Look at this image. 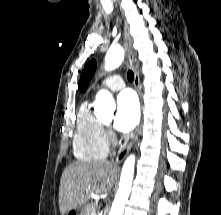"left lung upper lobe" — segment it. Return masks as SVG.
<instances>
[{"mask_svg":"<svg viewBox=\"0 0 221 215\" xmlns=\"http://www.w3.org/2000/svg\"><path fill=\"white\" fill-rule=\"evenodd\" d=\"M96 69V62L95 60H91L82 71L81 77H80V84L79 89L81 92H85L87 89V86L94 75Z\"/></svg>","mask_w":221,"mask_h":215,"instance_id":"obj_1","label":"left lung upper lobe"}]
</instances>
